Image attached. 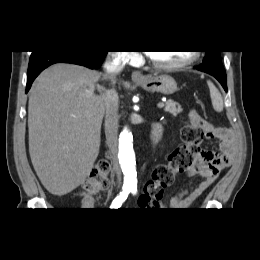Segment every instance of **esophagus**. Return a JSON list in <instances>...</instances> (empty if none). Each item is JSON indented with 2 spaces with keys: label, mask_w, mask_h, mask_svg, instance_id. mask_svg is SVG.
Instances as JSON below:
<instances>
[{
  "label": "esophagus",
  "mask_w": 260,
  "mask_h": 260,
  "mask_svg": "<svg viewBox=\"0 0 260 260\" xmlns=\"http://www.w3.org/2000/svg\"><path fill=\"white\" fill-rule=\"evenodd\" d=\"M131 77L133 80H143L144 79V76L138 70L133 71Z\"/></svg>",
  "instance_id": "1"
}]
</instances>
